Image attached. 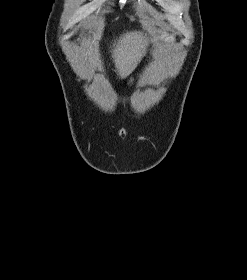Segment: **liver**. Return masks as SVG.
<instances>
[{"label": "liver", "instance_id": "1", "mask_svg": "<svg viewBox=\"0 0 247 280\" xmlns=\"http://www.w3.org/2000/svg\"><path fill=\"white\" fill-rule=\"evenodd\" d=\"M147 37L141 31H131L120 36L112 49V58L121 79L132 73L145 55Z\"/></svg>", "mask_w": 247, "mask_h": 280}]
</instances>
